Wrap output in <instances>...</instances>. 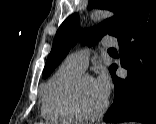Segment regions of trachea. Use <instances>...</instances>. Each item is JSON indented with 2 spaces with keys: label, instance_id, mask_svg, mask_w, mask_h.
<instances>
[{
  "label": "trachea",
  "instance_id": "3493384b",
  "mask_svg": "<svg viewBox=\"0 0 156 124\" xmlns=\"http://www.w3.org/2000/svg\"><path fill=\"white\" fill-rule=\"evenodd\" d=\"M109 51H116L114 48H110Z\"/></svg>",
  "mask_w": 156,
  "mask_h": 124
}]
</instances>
